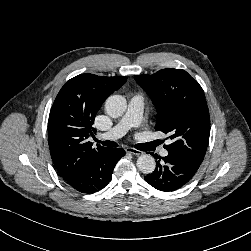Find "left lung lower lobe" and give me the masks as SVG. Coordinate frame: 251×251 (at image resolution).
Segmentation results:
<instances>
[{
    "label": "left lung lower lobe",
    "instance_id": "1",
    "mask_svg": "<svg viewBox=\"0 0 251 251\" xmlns=\"http://www.w3.org/2000/svg\"><path fill=\"white\" fill-rule=\"evenodd\" d=\"M151 154L159 160L155 171L145 176V181L164 192L175 191L187 184L201 164L182 154L169 153L168 156L162 158ZM161 159L162 162H160Z\"/></svg>",
    "mask_w": 251,
    "mask_h": 251
}]
</instances>
